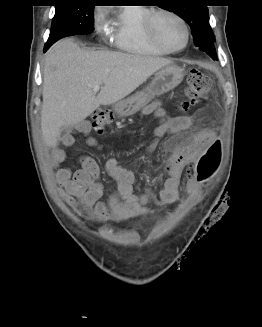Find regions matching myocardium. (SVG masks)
Wrapping results in <instances>:
<instances>
[{"mask_svg": "<svg viewBox=\"0 0 262 327\" xmlns=\"http://www.w3.org/2000/svg\"><path fill=\"white\" fill-rule=\"evenodd\" d=\"M162 14L176 18L183 25L186 33V39L180 48H170L158 36L156 30V18ZM144 29L151 41L168 53H177L184 50L187 47L191 37L190 28L186 20L179 13L167 8H156L150 10L144 19Z\"/></svg>", "mask_w": 262, "mask_h": 327, "instance_id": "myocardium-1", "label": "myocardium"}]
</instances>
